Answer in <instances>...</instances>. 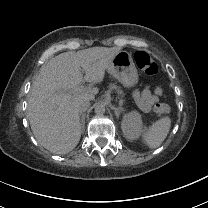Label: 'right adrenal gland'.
I'll use <instances>...</instances> for the list:
<instances>
[{
  "label": "right adrenal gland",
  "instance_id": "obj_1",
  "mask_svg": "<svg viewBox=\"0 0 208 208\" xmlns=\"http://www.w3.org/2000/svg\"><path fill=\"white\" fill-rule=\"evenodd\" d=\"M80 121H81V126L84 127L85 125V113H80Z\"/></svg>",
  "mask_w": 208,
  "mask_h": 208
}]
</instances>
